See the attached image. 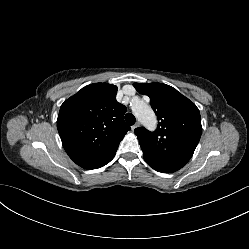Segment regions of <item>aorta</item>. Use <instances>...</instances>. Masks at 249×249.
I'll return each mask as SVG.
<instances>
[{
    "instance_id": "aorta-1",
    "label": "aorta",
    "mask_w": 249,
    "mask_h": 249,
    "mask_svg": "<svg viewBox=\"0 0 249 249\" xmlns=\"http://www.w3.org/2000/svg\"><path fill=\"white\" fill-rule=\"evenodd\" d=\"M134 115L145 126L153 129L156 126V116L151 107L143 101H138L132 107Z\"/></svg>"
}]
</instances>
